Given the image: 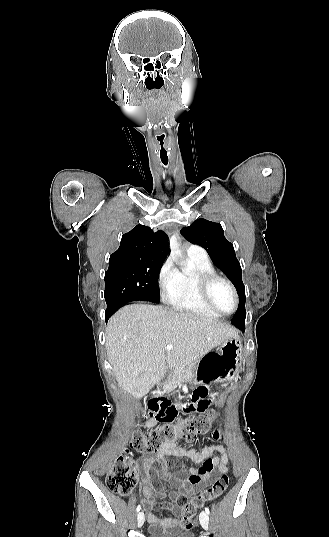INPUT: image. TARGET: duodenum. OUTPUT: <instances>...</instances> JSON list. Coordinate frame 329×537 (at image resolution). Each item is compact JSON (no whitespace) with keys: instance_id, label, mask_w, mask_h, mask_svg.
<instances>
[{"instance_id":"1","label":"duodenum","mask_w":329,"mask_h":537,"mask_svg":"<svg viewBox=\"0 0 329 537\" xmlns=\"http://www.w3.org/2000/svg\"><path fill=\"white\" fill-rule=\"evenodd\" d=\"M165 405H168V402L166 399L155 397L150 401L149 408L151 409V411L157 413L158 408L165 407Z\"/></svg>"}]
</instances>
